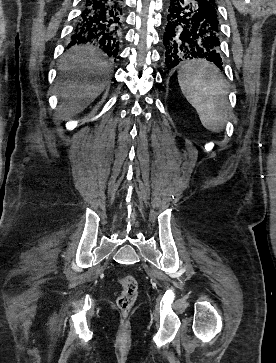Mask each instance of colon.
Returning <instances> with one entry per match:
<instances>
[{"label": "colon", "instance_id": "colon-1", "mask_svg": "<svg viewBox=\"0 0 276 363\" xmlns=\"http://www.w3.org/2000/svg\"><path fill=\"white\" fill-rule=\"evenodd\" d=\"M119 282L122 290L116 303L121 314L127 316L138 296V282L135 277L130 274L121 276Z\"/></svg>", "mask_w": 276, "mask_h": 363}]
</instances>
